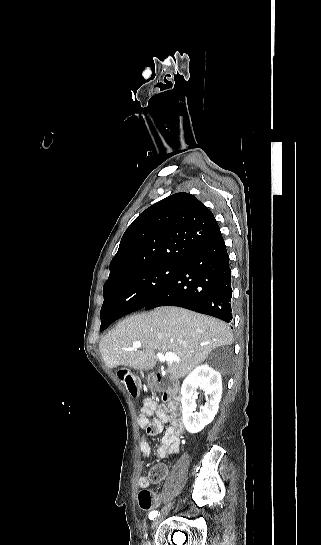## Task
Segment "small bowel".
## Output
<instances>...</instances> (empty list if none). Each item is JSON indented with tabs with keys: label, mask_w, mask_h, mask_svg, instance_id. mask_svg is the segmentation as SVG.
Returning a JSON list of instances; mask_svg holds the SVG:
<instances>
[{
	"label": "small bowel",
	"mask_w": 321,
	"mask_h": 545,
	"mask_svg": "<svg viewBox=\"0 0 321 545\" xmlns=\"http://www.w3.org/2000/svg\"><path fill=\"white\" fill-rule=\"evenodd\" d=\"M138 425L142 431L139 449L145 459L151 458L147 435L155 436L163 433L161 444L156 449L158 458L167 459L179 451L184 429L173 404L165 407L159 405L152 398H145L138 416ZM168 472V466L162 463L158 464L150 469L147 476L139 477L138 486L146 489L151 483L163 480Z\"/></svg>",
	"instance_id": "obj_1"
}]
</instances>
